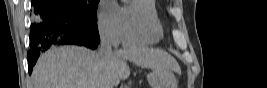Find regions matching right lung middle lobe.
I'll list each match as a JSON object with an SVG mask.
<instances>
[{
  "mask_svg": "<svg viewBox=\"0 0 267 88\" xmlns=\"http://www.w3.org/2000/svg\"><path fill=\"white\" fill-rule=\"evenodd\" d=\"M82 19L97 23V4L99 0H55Z\"/></svg>",
  "mask_w": 267,
  "mask_h": 88,
  "instance_id": "dd1d6c3e",
  "label": "right lung middle lobe"
}]
</instances>
